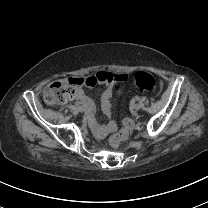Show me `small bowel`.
<instances>
[{
  "label": "small bowel",
  "instance_id": "1",
  "mask_svg": "<svg viewBox=\"0 0 208 208\" xmlns=\"http://www.w3.org/2000/svg\"><path fill=\"white\" fill-rule=\"evenodd\" d=\"M116 80L117 81H123L124 80V76L122 75H118L116 76ZM111 98H112V86L108 85L106 86L102 93H101V105H102V109L104 111L105 114L109 115L110 114V110H111ZM73 100L75 102H79L81 104H83L85 106V110H86V116L89 122L94 123L95 122V118H94V107L92 102L90 101V99L88 97H86L81 90H78L77 93L75 94ZM115 127L114 123L111 121L106 125L103 126H95V131L99 134H105L108 131L113 130Z\"/></svg>",
  "mask_w": 208,
  "mask_h": 208
}]
</instances>
